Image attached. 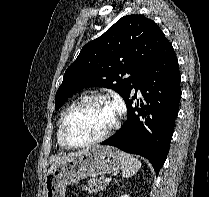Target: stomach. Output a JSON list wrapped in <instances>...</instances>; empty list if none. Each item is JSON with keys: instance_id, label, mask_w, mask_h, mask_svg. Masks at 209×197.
Returning <instances> with one entry per match:
<instances>
[{"instance_id": "1", "label": "stomach", "mask_w": 209, "mask_h": 197, "mask_svg": "<svg viewBox=\"0 0 209 197\" xmlns=\"http://www.w3.org/2000/svg\"><path fill=\"white\" fill-rule=\"evenodd\" d=\"M120 151L111 146H93L48 173L44 197H65L66 187L86 177L102 176L122 168Z\"/></svg>"}]
</instances>
